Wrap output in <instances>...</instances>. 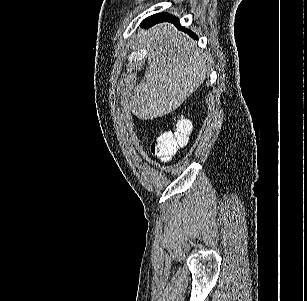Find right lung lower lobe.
<instances>
[{
	"instance_id": "1",
	"label": "right lung lower lobe",
	"mask_w": 307,
	"mask_h": 301,
	"mask_svg": "<svg viewBox=\"0 0 307 301\" xmlns=\"http://www.w3.org/2000/svg\"><path fill=\"white\" fill-rule=\"evenodd\" d=\"M163 21H169V22H172V23L176 24L177 26H179L178 19H175V17H172L167 13L156 14V15H152V16L146 18L142 22V26L143 27H149V26L155 25L156 23L163 22ZM179 28H180V26H179ZM183 30L186 31L185 29H183ZM188 33L190 35H193L189 31H188Z\"/></svg>"
}]
</instances>
